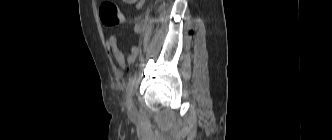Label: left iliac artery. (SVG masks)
I'll return each mask as SVG.
<instances>
[{
  "label": "left iliac artery",
  "mask_w": 332,
  "mask_h": 140,
  "mask_svg": "<svg viewBox=\"0 0 332 140\" xmlns=\"http://www.w3.org/2000/svg\"><path fill=\"white\" fill-rule=\"evenodd\" d=\"M133 87H134V77H130L126 87L127 101H129L132 96Z\"/></svg>",
  "instance_id": "obj_1"
}]
</instances>
